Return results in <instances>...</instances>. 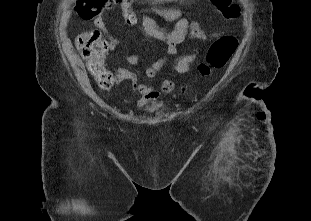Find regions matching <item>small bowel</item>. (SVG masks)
I'll list each match as a JSON object with an SVG mask.
<instances>
[{"label":"small bowel","mask_w":311,"mask_h":221,"mask_svg":"<svg viewBox=\"0 0 311 221\" xmlns=\"http://www.w3.org/2000/svg\"><path fill=\"white\" fill-rule=\"evenodd\" d=\"M153 14L169 21H175V28L170 32L164 30L157 24ZM141 23L143 32L148 38L164 42L165 55L152 61L145 68L142 79L126 67H118L115 72L118 80L130 82L134 94L139 96L135 107L152 111L159 106L163 97L168 96L173 91L175 83L171 78H164L159 85H153L150 81L176 54L177 45L184 41L188 29V19L179 8L151 5L141 14ZM95 24L107 38L108 50L112 51L113 46H121V41L110 34L101 17L95 20ZM196 56L197 53L194 52L178 57L175 62L176 72L178 74L186 73ZM122 60L129 65H136L140 61V57L137 54H124Z\"/></svg>","instance_id":"c3829d8e"}]
</instances>
